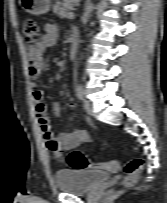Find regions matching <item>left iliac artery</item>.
I'll return each mask as SVG.
<instances>
[{"label": "left iliac artery", "instance_id": "left-iliac-artery-1", "mask_svg": "<svg viewBox=\"0 0 167 203\" xmlns=\"http://www.w3.org/2000/svg\"><path fill=\"white\" fill-rule=\"evenodd\" d=\"M77 95L79 97V99L83 100V97H84V91H83V88L81 85H79L77 87Z\"/></svg>", "mask_w": 167, "mask_h": 203}]
</instances>
